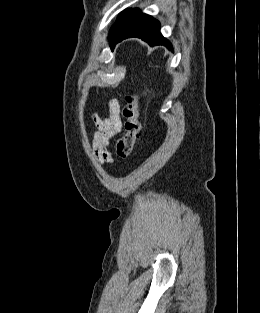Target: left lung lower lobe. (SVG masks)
Returning <instances> with one entry per match:
<instances>
[{
  "label": "left lung lower lobe",
  "instance_id": "left-lung-lower-lobe-1",
  "mask_svg": "<svg viewBox=\"0 0 260 313\" xmlns=\"http://www.w3.org/2000/svg\"><path fill=\"white\" fill-rule=\"evenodd\" d=\"M129 37L141 38L150 46L165 45L172 50L170 42L160 33V23L144 13L124 32L118 43Z\"/></svg>",
  "mask_w": 260,
  "mask_h": 313
}]
</instances>
